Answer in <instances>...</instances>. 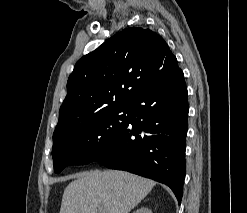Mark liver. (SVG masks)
Here are the masks:
<instances>
[{"label": "liver", "mask_w": 247, "mask_h": 213, "mask_svg": "<svg viewBox=\"0 0 247 213\" xmlns=\"http://www.w3.org/2000/svg\"><path fill=\"white\" fill-rule=\"evenodd\" d=\"M65 188L60 213H129L155 186L118 170L79 173Z\"/></svg>", "instance_id": "obj_1"}]
</instances>
